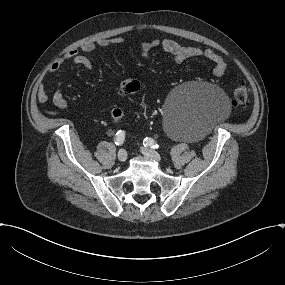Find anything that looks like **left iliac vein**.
<instances>
[{
    "label": "left iliac vein",
    "instance_id": "obj_1",
    "mask_svg": "<svg viewBox=\"0 0 285 285\" xmlns=\"http://www.w3.org/2000/svg\"><path fill=\"white\" fill-rule=\"evenodd\" d=\"M141 152L146 156V157H150L153 158L156 162L161 163L162 162V158L161 156L154 150L149 149V148H145L143 147L141 149Z\"/></svg>",
    "mask_w": 285,
    "mask_h": 285
}]
</instances>
